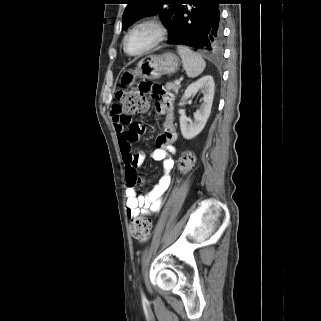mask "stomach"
I'll list each match as a JSON object with an SVG mask.
<instances>
[{"mask_svg": "<svg viewBox=\"0 0 321 321\" xmlns=\"http://www.w3.org/2000/svg\"><path fill=\"white\" fill-rule=\"evenodd\" d=\"M179 65V57L172 52L150 55L141 59L135 69L124 71L121 75V83L130 86L137 78L158 79L162 75L176 73Z\"/></svg>", "mask_w": 321, "mask_h": 321, "instance_id": "0dacf381", "label": "stomach"}]
</instances>
